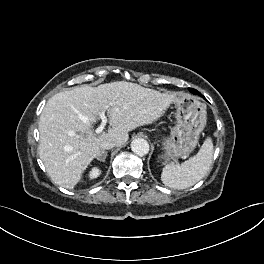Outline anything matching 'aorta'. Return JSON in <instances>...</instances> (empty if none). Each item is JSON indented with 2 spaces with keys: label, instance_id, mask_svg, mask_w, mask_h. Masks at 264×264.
<instances>
[{
  "label": "aorta",
  "instance_id": "aorta-1",
  "mask_svg": "<svg viewBox=\"0 0 264 264\" xmlns=\"http://www.w3.org/2000/svg\"><path fill=\"white\" fill-rule=\"evenodd\" d=\"M131 150L138 156H145L149 152V144L145 139L137 138L132 141Z\"/></svg>",
  "mask_w": 264,
  "mask_h": 264
}]
</instances>
